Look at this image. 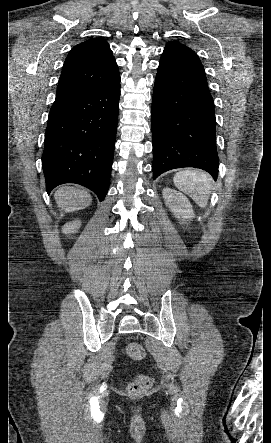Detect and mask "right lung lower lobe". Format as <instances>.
Segmentation results:
<instances>
[{"label":"right lung lower lobe","mask_w":271,"mask_h":443,"mask_svg":"<svg viewBox=\"0 0 271 443\" xmlns=\"http://www.w3.org/2000/svg\"><path fill=\"white\" fill-rule=\"evenodd\" d=\"M120 78L100 87L56 94L42 155L48 193L76 183L105 198L113 162Z\"/></svg>","instance_id":"right-lung-lower-lobe-1"}]
</instances>
